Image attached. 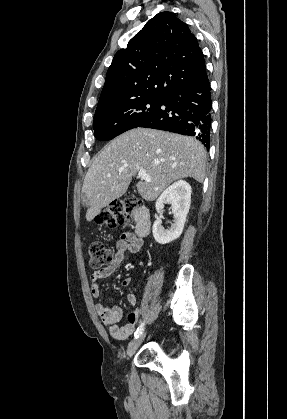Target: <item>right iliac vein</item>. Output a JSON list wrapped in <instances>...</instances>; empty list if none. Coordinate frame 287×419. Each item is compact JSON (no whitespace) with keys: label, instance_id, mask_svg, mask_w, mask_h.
<instances>
[{"label":"right iliac vein","instance_id":"1","mask_svg":"<svg viewBox=\"0 0 287 419\" xmlns=\"http://www.w3.org/2000/svg\"><path fill=\"white\" fill-rule=\"evenodd\" d=\"M145 338V333L139 335L138 338H135L134 340H132L127 348V356L131 357L133 356V354L136 352V350L138 349V347L141 345L142 341Z\"/></svg>","mask_w":287,"mask_h":419}]
</instances>
